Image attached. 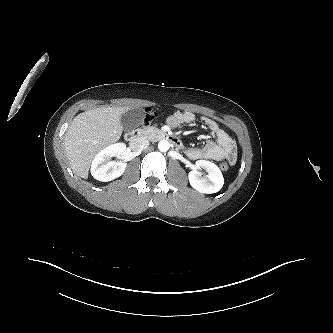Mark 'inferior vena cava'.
I'll return each instance as SVG.
<instances>
[{
	"instance_id": "1",
	"label": "inferior vena cava",
	"mask_w": 333,
	"mask_h": 333,
	"mask_svg": "<svg viewBox=\"0 0 333 333\" xmlns=\"http://www.w3.org/2000/svg\"><path fill=\"white\" fill-rule=\"evenodd\" d=\"M149 146V141L145 138H136L130 142L132 150L139 151L144 150Z\"/></svg>"
}]
</instances>
